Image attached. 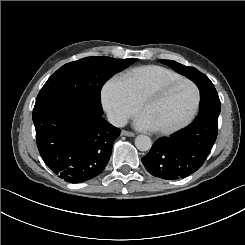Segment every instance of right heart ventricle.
Wrapping results in <instances>:
<instances>
[{"instance_id": "obj_1", "label": "right heart ventricle", "mask_w": 245, "mask_h": 245, "mask_svg": "<svg viewBox=\"0 0 245 245\" xmlns=\"http://www.w3.org/2000/svg\"><path fill=\"white\" fill-rule=\"evenodd\" d=\"M180 78V75L165 67L147 65L128 70L113 78V81L123 86L136 102L143 89L153 83H163Z\"/></svg>"}]
</instances>
